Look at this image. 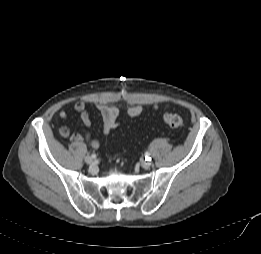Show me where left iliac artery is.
Listing matches in <instances>:
<instances>
[{"label": "left iliac artery", "instance_id": "44dca946", "mask_svg": "<svg viewBox=\"0 0 261 254\" xmlns=\"http://www.w3.org/2000/svg\"><path fill=\"white\" fill-rule=\"evenodd\" d=\"M145 160L146 161H151V157H150V153L149 152L145 153Z\"/></svg>", "mask_w": 261, "mask_h": 254}]
</instances>
